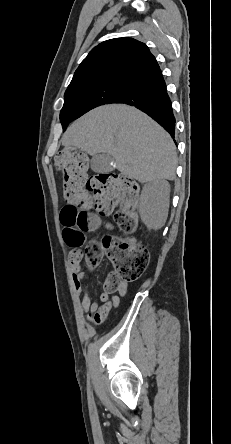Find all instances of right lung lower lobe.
Wrapping results in <instances>:
<instances>
[{
    "label": "right lung lower lobe",
    "instance_id": "obj_1",
    "mask_svg": "<svg viewBox=\"0 0 231 444\" xmlns=\"http://www.w3.org/2000/svg\"><path fill=\"white\" fill-rule=\"evenodd\" d=\"M114 103H125L142 110L174 138L176 121L162 75L137 84Z\"/></svg>",
    "mask_w": 231,
    "mask_h": 444
}]
</instances>
